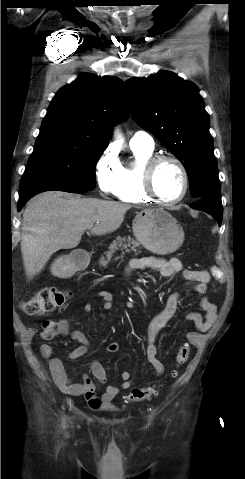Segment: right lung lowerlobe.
<instances>
[{
  "label": "right lung lower lobe",
  "instance_id": "98d812e1",
  "mask_svg": "<svg viewBox=\"0 0 245 479\" xmlns=\"http://www.w3.org/2000/svg\"><path fill=\"white\" fill-rule=\"evenodd\" d=\"M49 190H59V191H65L70 193H82L85 191V190L70 188V187L62 186L58 184H36V185L27 186L23 189H20L19 191L18 211L22 209V207L31 197H33L34 195L40 192L49 191Z\"/></svg>",
  "mask_w": 245,
  "mask_h": 479
}]
</instances>
